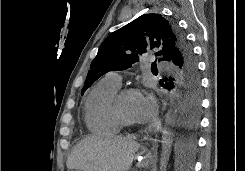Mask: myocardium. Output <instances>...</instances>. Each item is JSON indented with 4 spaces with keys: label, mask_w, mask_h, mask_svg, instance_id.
Instances as JSON below:
<instances>
[{
    "label": "myocardium",
    "mask_w": 245,
    "mask_h": 171,
    "mask_svg": "<svg viewBox=\"0 0 245 171\" xmlns=\"http://www.w3.org/2000/svg\"><path fill=\"white\" fill-rule=\"evenodd\" d=\"M132 94L140 95V91L136 88H124L116 93L112 101L113 114L116 120L119 122V124L124 127H134L137 124L136 122L126 119L120 110V101L122 100V98Z\"/></svg>",
    "instance_id": "obj_1"
}]
</instances>
